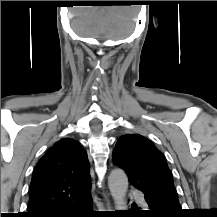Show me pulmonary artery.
Instances as JSON below:
<instances>
[{"instance_id":"1","label":"pulmonary artery","mask_w":217,"mask_h":217,"mask_svg":"<svg viewBox=\"0 0 217 217\" xmlns=\"http://www.w3.org/2000/svg\"><path fill=\"white\" fill-rule=\"evenodd\" d=\"M131 195L137 199L139 204L146 205V201H145V199L143 198V196L140 193L132 192Z\"/></svg>"}]
</instances>
